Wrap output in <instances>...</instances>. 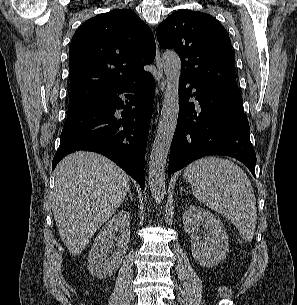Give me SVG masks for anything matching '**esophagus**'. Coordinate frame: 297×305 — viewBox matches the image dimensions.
<instances>
[{
	"label": "esophagus",
	"instance_id": "obj_1",
	"mask_svg": "<svg viewBox=\"0 0 297 305\" xmlns=\"http://www.w3.org/2000/svg\"><path fill=\"white\" fill-rule=\"evenodd\" d=\"M155 63H156L157 70H158V87L156 89V93L159 94L165 87V80H164L161 56H160V52H159V49H158L157 41H156Z\"/></svg>",
	"mask_w": 297,
	"mask_h": 305
}]
</instances>
